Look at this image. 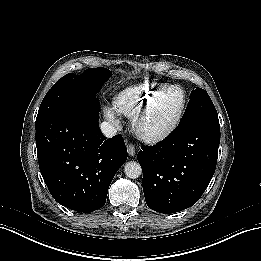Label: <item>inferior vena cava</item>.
<instances>
[{
	"mask_svg": "<svg viewBox=\"0 0 261 261\" xmlns=\"http://www.w3.org/2000/svg\"><path fill=\"white\" fill-rule=\"evenodd\" d=\"M100 129L106 137H112L117 133V129L108 122H102L100 124Z\"/></svg>",
	"mask_w": 261,
	"mask_h": 261,
	"instance_id": "1",
	"label": "inferior vena cava"
}]
</instances>
